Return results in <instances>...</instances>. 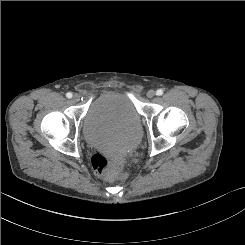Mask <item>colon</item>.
Masks as SVG:
<instances>
[{
    "instance_id": "1",
    "label": "colon",
    "mask_w": 245,
    "mask_h": 245,
    "mask_svg": "<svg viewBox=\"0 0 245 245\" xmlns=\"http://www.w3.org/2000/svg\"><path fill=\"white\" fill-rule=\"evenodd\" d=\"M94 172L105 180L125 179V161L122 158L95 154L91 159Z\"/></svg>"
}]
</instances>
